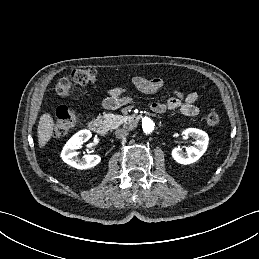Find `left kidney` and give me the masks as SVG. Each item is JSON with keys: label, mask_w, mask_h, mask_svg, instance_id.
<instances>
[{"label": "left kidney", "mask_w": 259, "mask_h": 259, "mask_svg": "<svg viewBox=\"0 0 259 259\" xmlns=\"http://www.w3.org/2000/svg\"><path fill=\"white\" fill-rule=\"evenodd\" d=\"M182 133L195 139L194 146L187 147L186 153L179 147L174 148L172 157L179 164L188 165L196 162L205 153L209 137L206 132L197 128H187Z\"/></svg>", "instance_id": "5707ae66"}]
</instances>
